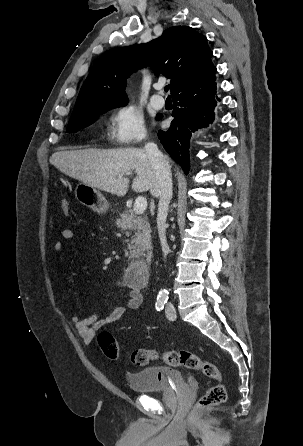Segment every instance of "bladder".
<instances>
[{
    "label": "bladder",
    "mask_w": 303,
    "mask_h": 446,
    "mask_svg": "<svg viewBox=\"0 0 303 446\" xmlns=\"http://www.w3.org/2000/svg\"><path fill=\"white\" fill-rule=\"evenodd\" d=\"M129 388L137 393L166 391L185 387L183 374L175 369L152 366L126 375Z\"/></svg>",
    "instance_id": "31cf9c89"
}]
</instances>
